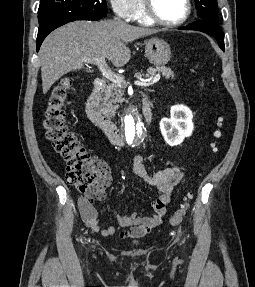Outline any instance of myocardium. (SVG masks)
Instances as JSON below:
<instances>
[{
    "instance_id": "f54148a6",
    "label": "myocardium",
    "mask_w": 255,
    "mask_h": 287,
    "mask_svg": "<svg viewBox=\"0 0 255 287\" xmlns=\"http://www.w3.org/2000/svg\"><path fill=\"white\" fill-rule=\"evenodd\" d=\"M159 23H166V22L159 21ZM152 33H171V32H152ZM153 39H169V38H153Z\"/></svg>"
}]
</instances>
